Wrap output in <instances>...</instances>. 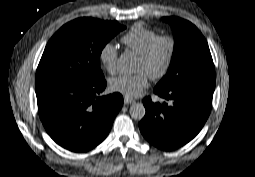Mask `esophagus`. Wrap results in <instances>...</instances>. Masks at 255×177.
<instances>
[{
    "mask_svg": "<svg viewBox=\"0 0 255 177\" xmlns=\"http://www.w3.org/2000/svg\"><path fill=\"white\" fill-rule=\"evenodd\" d=\"M135 101L133 100V99H129V98H127V97H125L124 98V104H132V103H134Z\"/></svg>",
    "mask_w": 255,
    "mask_h": 177,
    "instance_id": "esophagus-1",
    "label": "esophagus"
}]
</instances>
